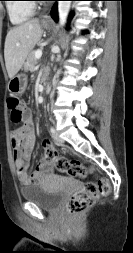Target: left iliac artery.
Returning <instances> with one entry per match:
<instances>
[{
	"label": "left iliac artery",
	"mask_w": 133,
	"mask_h": 253,
	"mask_svg": "<svg viewBox=\"0 0 133 253\" xmlns=\"http://www.w3.org/2000/svg\"><path fill=\"white\" fill-rule=\"evenodd\" d=\"M50 132L51 133H54L55 132V129L53 127L50 128Z\"/></svg>",
	"instance_id": "obj_1"
}]
</instances>
